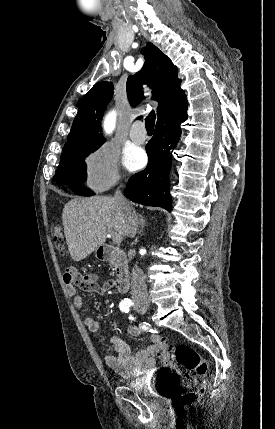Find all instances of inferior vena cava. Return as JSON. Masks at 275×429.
<instances>
[{
  "label": "inferior vena cava",
  "mask_w": 275,
  "mask_h": 429,
  "mask_svg": "<svg viewBox=\"0 0 275 429\" xmlns=\"http://www.w3.org/2000/svg\"><path fill=\"white\" fill-rule=\"evenodd\" d=\"M115 200L118 202L119 208L125 217V232L128 237L133 238L137 232L138 218L135 209L131 203L124 197L122 192L117 189L114 194ZM132 299L136 304H149V297L145 276L143 271L137 266L132 272Z\"/></svg>",
  "instance_id": "inferior-vena-cava-1"
}]
</instances>
